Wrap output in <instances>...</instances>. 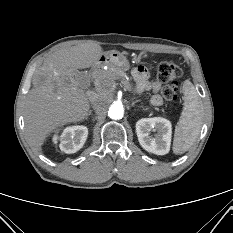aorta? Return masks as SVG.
<instances>
[{
  "mask_svg": "<svg viewBox=\"0 0 233 233\" xmlns=\"http://www.w3.org/2000/svg\"><path fill=\"white\" fill-rule=\"evenodd\" d=\"M107 108H108V116L111 119H121L123 117L124 114V108L123 105L120 102H109L107 104Z\"/></svg>",
  "mask_w": 233,
  "mask_h": 233,
  "instance_id": "obj_1",
  "label": "aorta"
}]
</instances>
